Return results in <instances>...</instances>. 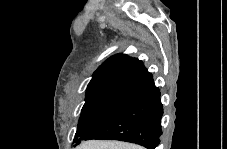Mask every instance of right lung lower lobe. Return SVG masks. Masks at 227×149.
I'll return each instance as SVG.
<instances>
[{
    "instance_id": "98d812e1",
    "label": "right lung lower lobe",
    "mask_w": 227,
    "mask_h": 149,
    "mask_svg": "<svg viewBox=\"0 0 227 149\" xmlns=\"http://www.w3.org/2000/svg\"><path fill=\"white\" fill-rule=\"evenodd\" d=\"M162 115L160 91L152 79L138 89L117 115L92 131L85 140H120L155 149L162 134Z\"/></svg>"
}]
</instances>
